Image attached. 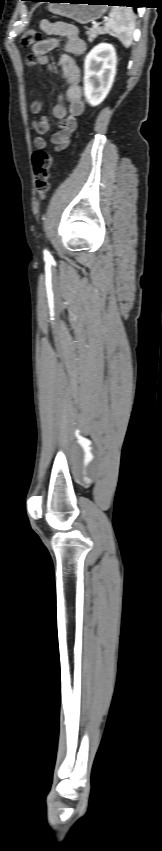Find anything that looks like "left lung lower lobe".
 <instances>
[{
	"label": "left lung lower lobe",
	"mask_w": 162,
	"mask_h": 851,
	"mask_svg": "<svg viewBox=\"0 0 162 851\" xmlns=\"http://www.w3.org/2000/svg\"><path fill=\"white\" fill-rule=\"evenodd\" d=\"M35 1H43V0H35ZM109 5H125L130 6V4L136 3L134 0H106Z\"/></svg>",
	"instance_id": "1"
}]
</instances>
